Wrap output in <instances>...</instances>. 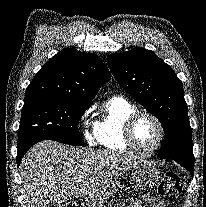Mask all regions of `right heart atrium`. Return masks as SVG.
I'll return each mask as SVG.
<instances>
[{
    "label": "right heart atrium",
    "instance_id": "obj_1",
    "mask_svg": "<svg viewBox=\"0 0 206 207\" xmlns=\"http://www.w3.org/2000/svg\"><path fill=\"white\" fill-rule=\"evenodd\" d=\"M91 108H87L80 118V127L85 140L90 145H94L96 142L95 126L91 122Z\"/></svg>",
    "mask_w": 206,
    "mask_h": 207
}]
</instances>
